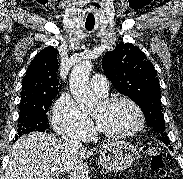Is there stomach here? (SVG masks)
Segmentation results:
<instances>
[{"label":"stomach","mask_w":183,"mask_h":179,"mask_svg":"<svg viewBox=\"0 0 183 179\" xmlns=\"http://www.w3.org/2000/svg\"><path fill=\"white\" fill-rule=\"evenodd\" d=\"M138 157L137 149L129 142H109L99 149V162L106 172L126 170Z\"/></svg>","instance_id":"1"}]
</instances>
